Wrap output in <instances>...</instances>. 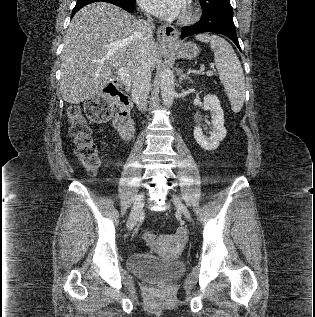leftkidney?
I'll list each match as a JSON object with an SVG mask.
<instances>
[{"mask_svg": "<svg viewBox=\"0 0 315 317\" xmlns=\"http://www.w3.org/2000/svg\"><path fill=\"white\" fill-rule=\"evenodd\" d=\"M204 109L211 112L212 132L210 136H205L202 129L199 126H195L194 138L204 150H215L227 133L224 127V113L218 97L212 94L206 95L204 97Z\"/></svg>", "mask_w": 315, "mask_h": 317, "instance_id": "5707ae66", "label": "left kidney"}]
</instances>
